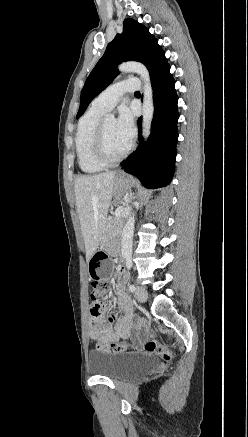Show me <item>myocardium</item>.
Segmentation results:
<instances>
[{
	"label": "myocardium",
	"instance_id": "obj_1",
	"mask_svg": "<svg viewBox=\"0 0 248 437\" xmlns=\"http://www.w3.org/2000/svg\"><path fill=\"white\" fill-rule=\"evenodd\" d=\"M133 148V144L130 142L128 146L117 156H110L106 150L105 145V120H101L95 135L94 140V156L99 163L105 167L113 166L125 158Z\"/></svg>",
	"mask_w": 248,
	"mask_h": 437
}]
</instances>
